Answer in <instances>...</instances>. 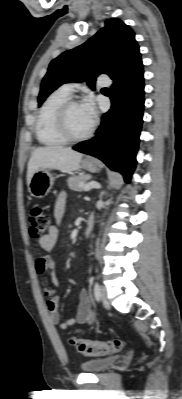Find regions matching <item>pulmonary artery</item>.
Returning a JSON list of instances; mask_svg holds the SVG:
<instances>
[{
    "label": "pulmonary artery",
    "instance_id": "e3ab8cb5",
    "mask_svg": "<svg viewBox=\"0 0 182 399\" xmlns=\"http://www.w3.org/2000/svg\"><path fill=\"white\" fill-rule=\"evenodd\" d=\"M98 83L100 85L107 86L110 84V81L107 78H99ZM74 87H75L74 83H66L61 86V89H63L64 91H66L68 93H71L73 91Z\"/></svg>",
    "mask_w": 182,
    "mask_h": 399
}]
</instances>
